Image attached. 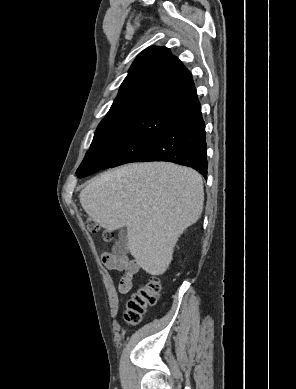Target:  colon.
<instances>
[{"mask_svg":"<svg viewBox=\"0 0 296 389\" xmlns=\"http://www.w3.org/2000/svg\"><path fill=\"white\" fill-rule=\"evenodd\" d=\"M88 229L92 233L102 232L103 239L107 242L116 240L115 234L101 227L93 220L87 223ZM109 263H112L111 258H107ZM161 294V283L157 278H152L147 282L141 284L131 295L127 302L125 320L131 325L139 323L145 311L153 306Z\"/></svg>","mask_w":296,"mask_h":389,"instance_id":"5ec220e1","label":"colon"}]
</instances>
